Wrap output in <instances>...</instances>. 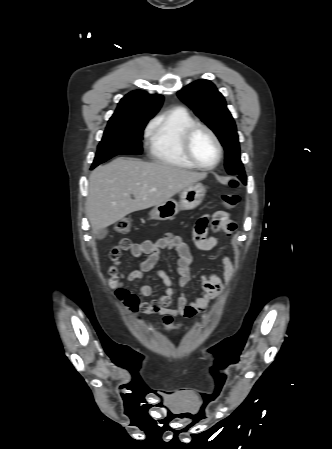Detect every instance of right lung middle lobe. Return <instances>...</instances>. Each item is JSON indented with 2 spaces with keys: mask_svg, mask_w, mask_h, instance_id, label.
<instances>
[{
  "mask_svg": "<svg viewBox=\"0 0 332 449\" xmlns=\"http://www.w3.org/2000/svg\"><path fill=\"white\" fill-rule=\"evenodd\" d=\"M150 119L148 117L110 119L98 145L91 169L116 155H140L143 130Z\"/></svg>",
  "mask_w": 332,
  "mask_h": 449,
  "instance_id": "obj_1",
  "label": "right lung middle lobe"
}]
</instances>
